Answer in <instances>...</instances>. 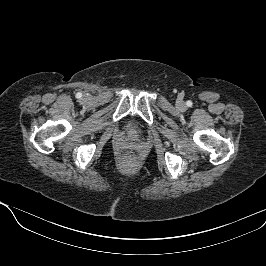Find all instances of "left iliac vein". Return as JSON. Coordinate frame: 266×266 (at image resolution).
I'll return each instance as SVG.
<instances>
[{
  "mask_svg": "<svg viewBox=\"0 0 266 266\" xmlns=\"http://www.w3.org/2000/svg\"><path fill=\"white\" fill-rule=\"evenodd\" d=\"M178 107H179V108H183V107H184V103L179 102V103H178Z\"/></svg>",
  "mask_w": 266,
  "mask_h": 266,
  "instance_id": "4c4485c4",
  "label": "left iliac vein"
}]
</instances>
